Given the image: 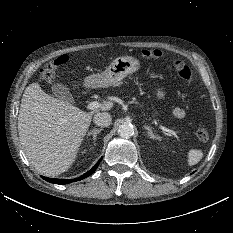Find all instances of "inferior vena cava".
<instances>
[{
  "label": "inferior vena cava",
  "instance_id": "1",
  "mask_svg": "<svg viewBox=\"0 0 233 233\" xmlns=\"http://www.w3.org/2000/svg\"><path fill=\"white\" fill-rule=\"evenodd\" d=\"M111 120H112V117L107 112L97 113L93 119L94 123L101 127L109 126L111 123Z\"/></svg>",
  "mask_w": 233,
  "mask_h": 233
}]
</instances>
